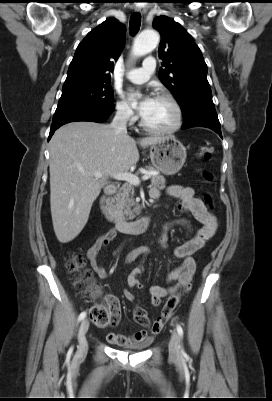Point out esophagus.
Returning a JSON list of instances; mask_svg holds the SVG:
<instances>
[{"mask_svg":"<svg viewBox=\"0 0 272 401\" xmlns=\"http://www.w3.org/2000/svg\"><path fill=\"white\" fill-rule=\"evenodd\" d=\"M136 11L139 12L140 14H142V15L146 13V9L143 8V7H137Z\"/></svg>","mask_w":272,"mask_h":401,"instance_id":"1","label":"esophagus"}]
</instances>
